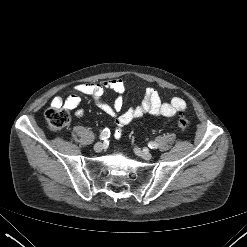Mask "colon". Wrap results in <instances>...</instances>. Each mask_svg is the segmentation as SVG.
Returning a JSON list of instances; mask_svg holds the SVG:
<instances>
[{
    "label": "colon",
    "mask_w": 247,
    "mask_h": 247,
    "mask_svg": "<svg viewBox=\"0 0 247 247\" xmlns=\"http://www.w3.org/2000/svg\"><path fill=\"white\" fill-rule=\"evenodd\" d=\"M45 118L51 130L59 131L65 128L70 122L68 111L62 107H51L45 113ZM189 120L185 116H180L177 120V125L181 130L189 127ZM118 137L121 136V130L118 131Z\"/></svg>",
    "instance_id": "colon-1"
}]
</instances>
